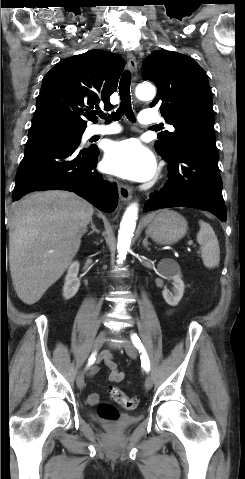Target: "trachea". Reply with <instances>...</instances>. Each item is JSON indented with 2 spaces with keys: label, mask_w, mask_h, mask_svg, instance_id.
<instances>
[{
  "label": "trachea",
  "mask_w": 245,
  "mask_h": 479,
  "mask_svg": "<svg viewBox=\"0 0 245 479\" xmlns=\"http://www.w3.org/2000/svg\"><path fill=\"white\" fill-rule=\"evenodd\" d=\"M130 73L128 71L124 72L119 83V95H120V107L117 109L116 112L112 113L110 119L116 121L122 117V115H126L129 120H134V113L132 111L131 106V95H130ZM97 114L105 118L107 122H110L108 117L102 112H97ZM158 128V127H154Z\"/></svg>",
  "instance_id": "trachea-1"
}]
</instances>
